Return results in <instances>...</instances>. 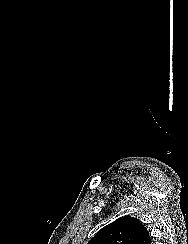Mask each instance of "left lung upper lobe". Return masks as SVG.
<instances>
[{"label": "left lung upper lobe", "instance_id": "5c2ea615", "mask_svg": "<svg viewBox=\"0 0 188 244\" xmlns=\"http://www.w3.org/2000/svg\"><path fill=\"white\" fill-rule=\"evenodd\" d=\"M88 244H151V237L139 219L123 216L103 227Z\"/></svg>", "mask_w": 188, "mask_h": 244}]
</instances>
